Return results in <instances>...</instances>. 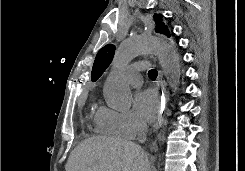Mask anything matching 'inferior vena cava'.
<instances>
[{
  "label": "inferior vena cava",
  "instance_id": "1",
  "mask_svg": "<svg viewBox=\"0 0 245 171\" xmlns=\"http://www.w3.org/2000/svg\"><path fill=\"white\" fill-rule=\"evenodd\" d=\"M146 132H147V125L144 122L139 124V133H138V140L140 143H144L146 141Z\"/></svg>",
  "mask_w": 245,
  "mask_h": 171
}]
</instances>
